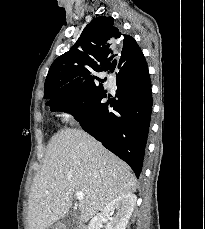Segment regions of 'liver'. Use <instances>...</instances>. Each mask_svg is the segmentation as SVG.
<instances>
[{"label": "liver", "instance_id": "1", "mask_svg": "<svg viewBox=\"0 0 205 229\" xmlns=\"http://www.w3.org/2000/svg\"><path fill=\"white\" fill-rule=\"evenodd\" d=\"M81 191L80 221L87 222L112 200L136 191L130 167L83 130L66 128L49 141L28 200L30 229H48Z\"/></svg>", "mask_w": 205, "mask_h": 229}]
</instances>
